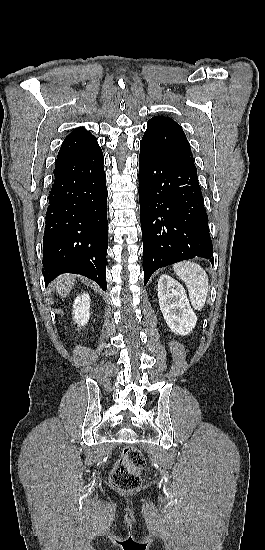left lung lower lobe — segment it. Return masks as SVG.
I'll return each mask as SVG.
<instances>
[{
	"mask_svg": "<svg viewBox=\"0 0 265 550\" xmlns=\"http://www.w3.org/2000/svg\"><path fill=\"white\" fill-rule=\"evenodd\" d=\"M139 201L144 284L157 269L182 260L214 263L196 170L141 143Z\"/></svg>",
	"mask_w": 265,
	"mask_h": 550,
	"instance_id": "obj_1",
	"label": "left lung lower lobe"
}]
</instances>
